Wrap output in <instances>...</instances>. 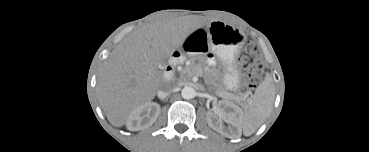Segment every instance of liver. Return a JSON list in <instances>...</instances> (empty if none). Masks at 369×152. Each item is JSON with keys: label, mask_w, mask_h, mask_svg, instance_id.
Segmentation results:
<instances>
[{"label": "liver", "mask_w": 369, "mask_h": 152, "mask_svg": "<svg viewBox=\"0 0 369 152\" xmlns=\"http://www.w3.org/2000/svg\"><path fill=\"white\" fill-rule=\"evenodd\" d=\"M198 26L181 18L145 25L124 38L104 62L97 96L108 121L122 127L162 85L161 60L179 50Z\"/></svg>", "instance_id": "1"}]
</instances>
